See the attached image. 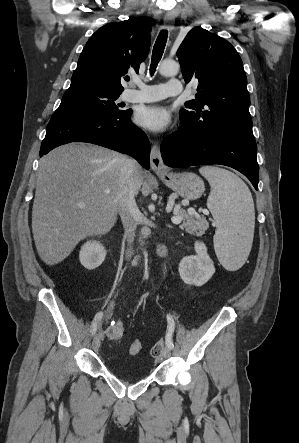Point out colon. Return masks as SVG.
Returning a JSON list of instances; mask_svg holds the SVG:
<instances>
[{"instance_id":"obj_1","label":"colon","mask_w":299,"mask_h":443,"mask_svg":"<svg viewBox=\"0 0 299 443\" xmlns=\"http://www.w3.org/2000/svg\"><path fill=\"white\" fill-rule=\"evenodd\" d=\"M125 334V325L121 319H115L107 329V336L112 340H120ZM164 340L157 341L151 349V356L156 361L160 360L164 350ZM142 348L140 339H134L128 346V353L130 355H137Z\"/></svg>"}]
</instances>
